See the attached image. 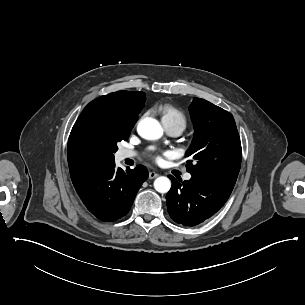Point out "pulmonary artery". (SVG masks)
<instances>
[{"instance_id": "obj_1", "label": "pulmonary artery", "mask_w": 305, "mask_h": 305, "mask_svg": "<svg viewBox=\"0 0 305 305\" xmlns=\"http://www.w3.org/2000/svg\"><path fill=\"white\" fill-rule=\"evenodd\" d=\"M164 128L166 130V132L171 135V136H179L182 134V132L184 131V125L181 123H163ZM136 155L135 152L130 151V150H124L121 153V159L125 160V159H130L133 158ZM192 175L190 173H187L184 175V180H191Z\"/></svg>"}]
</instances>
